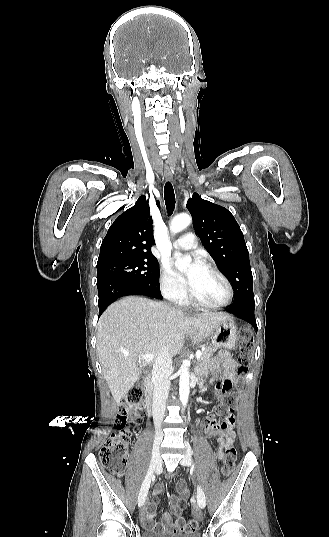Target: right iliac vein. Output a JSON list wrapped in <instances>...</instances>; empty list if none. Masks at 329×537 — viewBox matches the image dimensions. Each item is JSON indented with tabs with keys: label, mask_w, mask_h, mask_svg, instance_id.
Returning a JSON list of instances; mask_svg holds the SVG:
<instances>
[{
	"label": "right iliac vein",
	"mask_w": 329,
	"mask_h": 537,
	"mask_svg": "<svg viewBox=\"0 0 329 537\" xmlns=\"http://www.w3.org/2000/svg\"><path fill=\"white\" fill-rule=\"evenodd\" d=\"M159 442H156L153 448L152 452V458L150 462V466L147 472V475L142 483V486L140 488L139 494H138V505L142 506L146 500L148 490L150 487L151 479L153 476V473L160 468L161 460H160V454H159Z\"/></svg>",
	"instance_id": "63e3f726"
}]
</instances>
